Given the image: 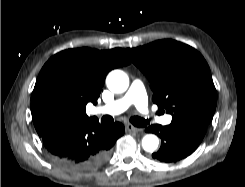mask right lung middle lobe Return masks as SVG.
<instances>
[{"label":"right lung middle lobe","instance_id":"obj_1","mask_svg":"<svg viewBox=\"0 0 245 187\" xmlns=\"http://www.w3.org/2000/svg\"><path fill=\"white\" fill-rule=\"evenodd\" d=\"M52 104H57L58 103V100L54 97H51L50 100H49Z\"/></svg>","mask_w":245,"mask_h":187}]
</instances>
